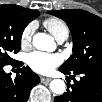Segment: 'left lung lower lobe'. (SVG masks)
<instances>
[{"mask_svg": "<svg viewBox=\"0 0 102 102\" xmlns=\"http://www.w3.org/2000/svg\"><path fill=\"white\" fill-rule=\"evenodd\" d=\"M64 74H81L80 81L67 85V92L55 97V102H102V69L94 68L67 72L59 69Z\"/></svg>", "mask_w": 102, "mask_h": 102, "instance_id": "1", "label": "left lung lower lobe"}]
</instances>
